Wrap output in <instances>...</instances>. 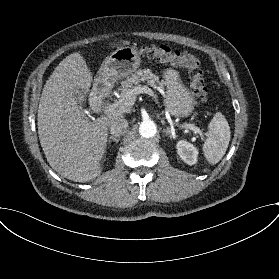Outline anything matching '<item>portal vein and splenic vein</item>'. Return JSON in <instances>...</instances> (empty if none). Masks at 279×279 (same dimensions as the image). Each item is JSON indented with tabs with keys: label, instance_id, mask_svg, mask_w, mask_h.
Wrapping results in <instances>:
<instances>
[{
	"label": "portal vein and splenic vein",
	"instance_id": "portal-vein-and-splenic-vein-1",
	"mask_svg": "<svg viewBox=\"0 0 279 279\" xmlns=\"http://www.w3.org/2000/svg\"><path fill=\"white\" fill-rule=\"evenodd\" d=\"M141 93H147L150 96H154V92L152 91L151 88H149L146 85H144V86L138 85L131 92L128 93V95L126 96V99L131 100L132 95H137V94H141ZM121 101H119V102H121ZM119 102H116L114 104H109V105L105 106L104 113L107 114V115H117V114H122L123 112H125L126 109L124 107L118 108ZM182 127L190 129V130H192L194 132H197V133L201 132L200 128L195 126L194 124L185 123V124L182 125Z\"/></svg>",
	"mask_w": 279,
	"mask_h": 279
}]
</instances>
